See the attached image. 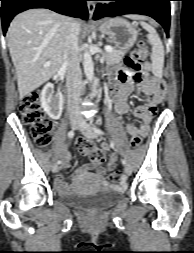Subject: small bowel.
Wrapping results in <instances>:
<instances>
[{
	"label": "small bowel",
	"mask_w": 194,
	"mask_h": 253,
	"mask_svg": "<svg viewBox=\"0 0 194 253\" xmlns=\"http://www.w3.org/2000/svg\"><path fill=\"white\" fill-rule=\"evenodd\" d=\"M140 59L141 61H146L147 58L146 56H141ZM142 66L144 69H141L140 74H136L127 68H121L115 71L111 76L109 92L114 104V112L118 118L129 112L130 105L128 100L132 94L148 100L147 104L138 106L134 110L135 116L140 120V125L136 126L133 123H128L126 125V130L130 136L138 135L144 138L150 130V123L156 111V106L165 96L166 88L162 81L149 76V71L146 68H150V63H143ZM151 107L155 109L153 112L148 110ZM101 149L102 151H108L110 149V144L106 142L102 143ZM62 159L63 168H67L71 159L70 153L68 151H63ZM117 161L118 155L116 153L110 154L106 167L97 169L98 174L105 177L116 167ZM90 169V165L83 164L79 172H85ZM55 186L61 192H65L69 188L62 175H58L55 178Z\"/></svg>",
	"instance_id": "c3829d8e"
}]
</instances>
